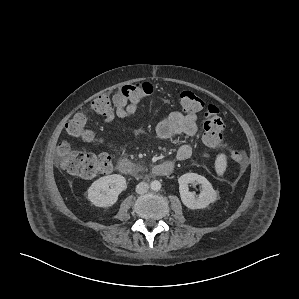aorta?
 I'll use <instances>...</instances> for the list:
<instances>
[{
  "instance_id": "762f6f07",
  "label": "aorta",
  "mask_w": 299,
  "mask_h": 299,
  "mask_svg": "<svg viewBox=\"0 0 299 299\" xmlns=\"http://www.w3.org/2000/svg\"><path fill=\"white\" fill-rule=\"evenodd\" d=\"M153 191H159L161 189V183L158 180H154L150 184Z\"/></svg>"
}]
</instances>
